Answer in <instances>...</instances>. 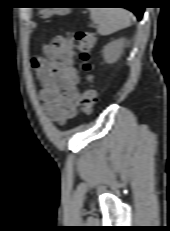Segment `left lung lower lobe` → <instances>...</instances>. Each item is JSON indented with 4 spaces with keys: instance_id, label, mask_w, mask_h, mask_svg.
<instances>
[{
    "instance_id": "1",
    "label": "left lung lower lobe",
    "mask_w": 170,
    "mask_h": 231,
    "mask_svg": "<svg viewBox=\"0 0 170 231\" xmlns=\"http://www.w3.org/2000/svg\"><path fill=\"white\" fill-rule=\"evenodd\" d=\"M126 4H128L129 6H119V7L129 9L140 20L142 18L143 12H144V7L139 5V2L137 0H130V1L126 2Z\"/></svg>"
}]
</instances>
